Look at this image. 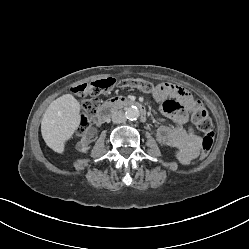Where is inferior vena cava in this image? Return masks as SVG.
I'll use <instances>...</instances> for the list:
<instances>
[{
  "label": "inferior vena cava",
  "instance_id": "1",
  "mask_svg": "<svg viewBox=\"0 0 249 249\" xmlns=\"http://www.w3.org/2000/svg\"><path fill=\"white\" fill-rule=\"evenodd\" d=\"M112 121L113 123H123L126 121V115L121 110L114 111L112 113Z\"/></svg>",
  "mask_w": 249,
  "mask_h": 249
}]
</instances>
